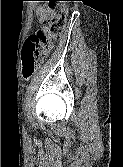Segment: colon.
Returning <instances> with one entry per match:
<instances>
[{
  "label": "colon",
  "mask_w": 123,
  "mask_h": 167,
  "mask_svg": "<svg viewBox=\"0 0 123 167\" xmlns=\"http://www.w3.org/2000/svg\"><path fill=\"white\" fill-rule=\"evenodd\" d=\"M42 27L30 35L23 46L22 75L29 79L52 47L53 37L64 29L67 11L64 5L43 7L39 12Z\"/></svg>",
  "instance_id": "obj_1"
}]
</instances>
